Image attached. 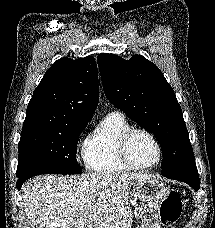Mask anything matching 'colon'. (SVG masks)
<instances>
[{
  "instance_id": "obj_1",
  "label": "colon",
  "mask_w": 215,
  "mask_h": 228,
  "mask_svg": "<svg viewBox=\"0 0 215 228\" xmlns=\"http://www.w3.org/2000/svg\"><path fill=\"white\" fill-rule=\"evenodd\" d=\"M160 219L164 227L174 226L182 212V201L178 192H171L160 206Z\"/></svg>"
}]
</instances>
